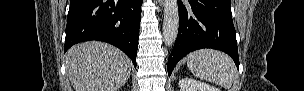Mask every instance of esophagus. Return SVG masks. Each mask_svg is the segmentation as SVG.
Wrapping results in <instances>:
<instances>
[{"label": "esophagus", "mask_w": 304, "mask_h": 91, "mask_svg": "<svg viewBox=\"0 0 304 91\" xmlns=\"http://www.w3.org/2000/svg\"><path fill=\"white\" fill-rule=\"evenodd\" d=\"M160 5H163V0L158 1Z\"/></svg>", "instance_id": "esophagus-1"}]
</instances>
